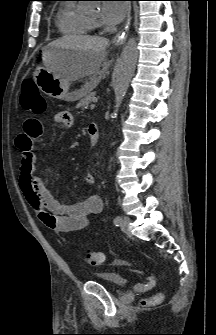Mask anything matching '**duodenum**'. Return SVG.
I'll return each instance as SVG.
<instances>
[{"label": "duodenum", "mask_w": 216, "mask_h": 335, "mask_svg": "<svg viewBox=\"0 0 216 335\" xmlns=\"http://www.w3.org/2000/svg\"><path fill=\"white\" fill-rule=\"evenodd\" d=\"M88 134L92 142H97L99 137L98 126L96 123H91L88 126Z\"/></svg>", "instance_id": "1"}]
</instances>
